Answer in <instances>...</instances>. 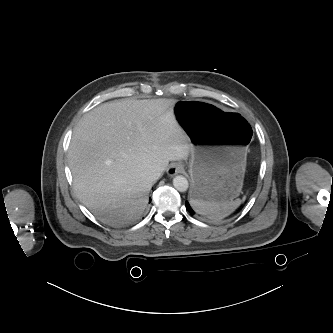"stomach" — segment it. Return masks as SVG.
Listing matches in <instances>:
<instances>
[{
    "instance_id": "1",
    "label": "stomach",
    "mask_w": 333,
    "mask_h": 333,
    "mask_svg": "<svg viewBox=\"0 0 333 333\" xmlns=\"http://www.w3.org/2000/svg\"><path fill=\"white\" fill-rule=\"evenodd\" d=\"M174 114L191 146V197L234 201L241 193L253 131L239 113L203 100H182Z\"/></svg>"
}]
</instances>
